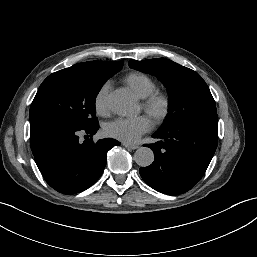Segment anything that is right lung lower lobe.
Masks as SVG:
<instances>
[{"label":"right lung lower lobe","mask_w":257,"mask_h":257,"mask_svg":"<svg viewBox=\"0 0 257 257\" xmlns=\"http://www.w3.org/2000/svg\"><path fill=\"white\" fill-rule=\"evenodd\" d=\"M99 125L79 129L52 121L30 122V145L35 162L46 182L63 194L82 192L102 175L107 152L120 143L107 138L82 142L80 134L92 137Z\"/></svg>","instance_id":"98d812e1"}]
</instances>
